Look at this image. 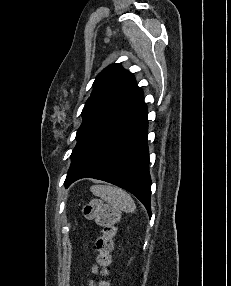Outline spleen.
<instances>
[{
	"label": "spleen",
	"instance_id": "spleen-1",
	"mask_svg": "<svg viewBox=\"0 0 231 286\" xmlns=\"http://www.w3.org/2000/svg\"><path fill=\"white\" fill-rule=\"evenodd\" d=\"M91 191L94 196L100 197L114 208L126 213L136 210V204L129 193L121 188L109 185H93Z\"/></svg>",
	"mask_w": 231,
	"mask_h": 286
}]
</instances>
